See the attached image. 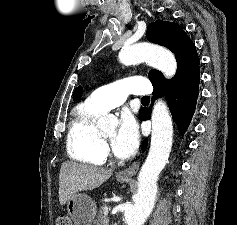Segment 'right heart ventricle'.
<instances>
[{
    "mask_svg": "<svg viewBox=\"0 0 237 225\" xmlns=\"http://www.w3.org/2000/svg\"><path fill=\"white\" fill-rule=\"evenodd\" d=\"M102 113L89 99L76 111L67 140V151L72 159L94 165L105 162L101 133L95 125L96 118Z\"/></svg>",
    "mask_w": 237,
    "mask_h": 225,
    "instance_id": "e07e8e85",
    "label": "right heart ventricle"
}]
</instances>
